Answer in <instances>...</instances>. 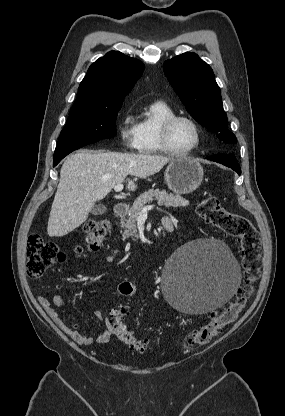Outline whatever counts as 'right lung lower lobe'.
Masks as SVG:
<instances>
[{
    "mask_svg": "<svg viewBox=\"0 0 285 416\" xmlns=\"http://www.w3.org/2000/svg\"><path fill=\"white\" fill-rule=\"evenodd\" d=\"M94 142L96 141H80L58 144L54 153L53 166H56L65 156H67L72 151Z\"/></svg>",
    "mask_w": 285,
    "mask_h": 416,
    "instance_id": "obj_1",
    "label": "right lung lower lobe"
}]
</instances>
